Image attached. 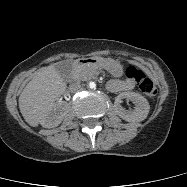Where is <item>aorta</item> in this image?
Masks as SVG:
<instances>
[{
  "label": "aorta",
  "instance_id": "obj_1",
  "mask_svg": "<svg viewBox=\"0 0 187 187\" xmlns=\"http://www.w3.org/2000/svg\"><path fill=\"white\" fill-rule=\"evenodd\" d=\"M89 87H90L91 89H94V88H96V84H95L94 82H90V83H89Z\"/></svg>",
  "mask_w": 187,
  "mask_h": 187
}]
</instances>
